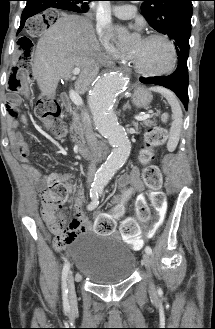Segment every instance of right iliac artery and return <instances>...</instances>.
Instances as JSON below:
<instances>
[{
    "mask_svg": "<svg viewBox=\"0 0 215 329\" xmlns=\"http://www.w3.org/2000/svg\"><path fill=\"white\" fill-rule=\"evenodd\" d=\"M91 203L87 206L88 210H94L98 204V190L92 188L90 190ZM70 264L68 261L65 262L62 270V291H63V303L66 308H69L68 302V289H67V276L69 272Z\"/></svg>",
    "mask_w": 215,
    "mask_h": 329,
    "instance_id": "1",
    "label": "right iliac artery"
}]
</instances>
